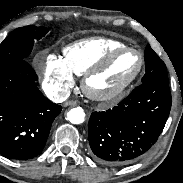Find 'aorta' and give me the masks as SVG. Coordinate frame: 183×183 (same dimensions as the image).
<instances>
[{
	"label": "aorta",
	"instance_id": "1",
	"mask_svg": "<svg viewBox=\"0 0 183 183\" xmlns=\"http://www.w3.org/2000/svg\"><path fill=\"white\" fill-rule=\"evenodd\" d=\"M67 119L73 124H81L85 120V112L81 107L73 108L67 113Z\"/></svg>",
	"mask_w": 183,
	"mask_h": 183
}]
</instances>
